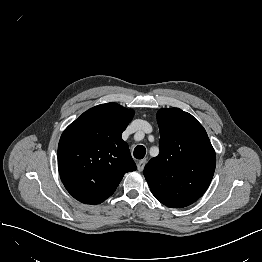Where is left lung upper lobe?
Masks as SVG:
<instances>
[{
  "instance_id": "left-lung-upper-lobe-1",
  "label": "left lung upper lobe",
  "mask_w": 262,
  "mask_h": 262,
  "mask_svg": "<svg viewBox=\"0 0 262 262\" xmlns=\"http://www.w3.org/2000/svg\"><path fill=\"white\" fill-rule=\"evenodd\" d=\"M157 157L144 168V176L157 200L183 208L200 198L210 185L216 166L215 151L203 126L179 108L160 109Z\"/></svg>"
}]
</instances>
